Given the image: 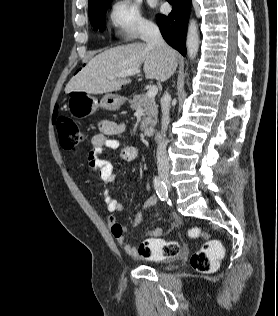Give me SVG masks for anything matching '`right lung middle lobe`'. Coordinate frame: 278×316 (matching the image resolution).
Masks as SVG:
<instances>
[{
    "instance_id": "1",
    "label": "right lung middle lobe",
    "mask_w": 278,
    "mask_h": 316,
    "mask_svg": "<svg viewBox=\"0 0 278 316\" xmlns=\"http://www.w3.org/2000/svg\"><path fill=\"white\" fill-rule=\"evenodd\" d=\"M109 2L110 0L102 1L101 3L97 4L95 7L89 10L90 22L95 30L99 29L100 31H103L105 29V11Z\"/></svg>"
}]
</instances>
